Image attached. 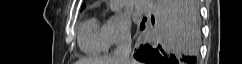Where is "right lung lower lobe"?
Instances as JSON below:
<instances>
[{
	"mask_svg": "<svg viewBox=\"0 0 242 64\" xmlns=\"http://www.w3.org/2000/svg\"><path fill=\"white\" fill-rule=\"evenodd\" d=\"M156 18L158 44L141 45L134 57L147 64H195L200 39L197 0H156Z\"/></svg>",
	"mask_w": 242,
	"mask_h": 64,
	"instance_id": "right-lung-lower-lobe-1",
	"label": "right lung lower lobe"
}]
</instances>
